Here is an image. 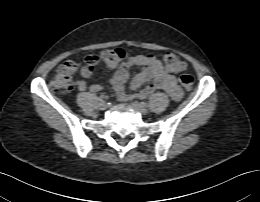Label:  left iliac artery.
<instances>
[{
  "instance_id": "obj_1",
  "label": "left iliac artery",
  "mask_w": 260,
  "mask_h": 202,
  "mask_svg": "<svg viewBox=\"0 0 260 202\" xmlns=\"http://www.w3.org/2000/svg\"><path fill=\"white\" fill-rule=\"evenodd\" d=\"M141 104H143V105H145V106L147 105V103H146V102H142Z\"/></svg>"
}]
</instances>
